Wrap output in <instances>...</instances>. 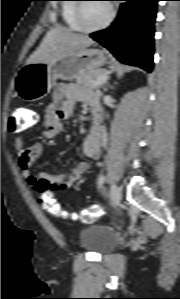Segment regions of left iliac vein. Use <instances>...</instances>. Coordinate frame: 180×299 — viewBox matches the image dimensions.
Segmentation results:
<instances>
[{
    "label": "left iliac vein",
    "mask_w": 180,
    "mask_h": 299,
    "mask_svg": "<svg viewBox=\"0 0 180 299\" xmlns=\"http://www.w3.org/2000/svg\"><path fill=\"white\" fill-rule=\"evenodd\" d=\"M110 197H111V203L113 207H116L120 204L122 193H121V189L116 184H112L111 186Z\"/></svg>",
    "instance_id": "obj_1"
}]
</instances>
